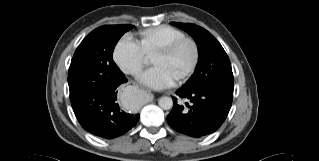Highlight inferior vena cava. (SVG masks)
Wrapping results in <instances>:
<instances>
[{"label": "inferior vena cava", "instance_id": "inferior-vena-cava-1", "mask_svg": "<svg viewBox=\"0 0 319 161\" xmlns=\"http://www.w3.org/2000/svg\"><path fill=\"white\" fill-rule=\"evenodd\" d=\"M137 73H138V71H135V72H134V74H137Z\"/></svg>", "mask_w": 319, "mask_h": 161}]
</instances>
